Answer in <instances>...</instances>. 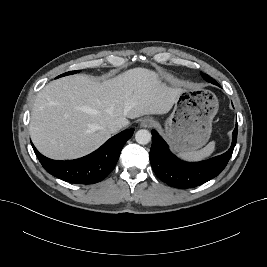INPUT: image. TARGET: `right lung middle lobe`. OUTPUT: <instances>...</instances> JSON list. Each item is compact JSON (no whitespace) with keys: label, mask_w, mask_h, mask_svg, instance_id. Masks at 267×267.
Returning <instances> with one entry per match:
<instances>
[{"label":"right lung middle lobe","mask_w":267,"mask_h":267,"mask_svg":"<svg viewBox=\"0 0 267 267\" xmlns=\"http://www.w3.org/2000/svg\"><path fill=\"white\" fill-rule=\"evenodd\" d=\"M76 72H79V71H70V72L64 73V74H62V75H59L57 78H59V77H63V76H66V75H71V74H74V73H76Z\"/></svg>","instance_id":"1"}]
</instances>
